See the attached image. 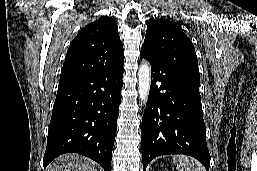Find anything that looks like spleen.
Returning a JSON list of instances; mask_svg holds the SVG:
<instances>
[{"mask_svg":"<svg viewBox=\"0 0 257 171\" xmlns=\"http://www.w3.org/2000/svg\"><path fill=\"white\" fill-rule=\"evenodd\" d=\"M173 162L178 171H206L200 162L189 156H175Z\"/></svg>","mask_w":257,"mask_h":171,"instance_id":"1","label":"spleen"}]
</instances>
